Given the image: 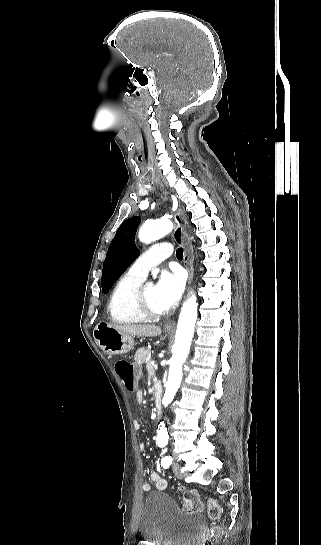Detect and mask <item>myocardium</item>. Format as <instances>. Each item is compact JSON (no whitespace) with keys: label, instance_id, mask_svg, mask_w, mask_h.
<instances>
[{"label":"myocardium","instance_id":"myocardium-1","mask_svg":"<svg viewBox=\"0 0 321 545\" xmlns=\"http://www.w3.org/2000/svg\"><path fill=\"white\" fill-rule=\"evenodd\" d=\"M145 287L146 285L141 283L135 288L132 294V308L138 315H140L141 317L147 320L159 319L164 315V313L155 312L148 309L143 302L142 292Z\"/></svg>","mask_w":321,"mask_h":545}]
</instances>
